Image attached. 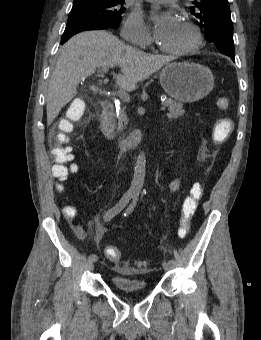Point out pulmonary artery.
<instances>
[{
	"mask_svg": "<svg viewBox=\"0 0 261 340\" xmlns=\"http://www.w3.org/2000/svg\"><path fill=\"white\" fill-rule=\"evenodd\" d=\"M149 2H154V3H160V4H165V3H169L171 1H174V0H147Z\"/></svg>",
	"mask_w": 261,
	"mask_h": 340,
	"instance_id": "e3ab8cb5",
	"label": "pulmonary artery"
}]
</instances>
